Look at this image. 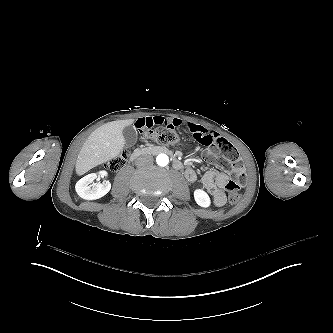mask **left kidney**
I'll return each instance as SVG.
<instances>
[{"label": "left kidney", "mask_w": 333, "mask_h": 333, "mask_svg": "<svg viewBox=\"0 0 333 333\" xmlns=\"http://www.w3.org/2000/svg\"><path fill=\"white\" fill-rule=\"evenodd\" d=\"M194 198L196 203L201 207L207 208L211 204L208 194L201 189H196L194 191Z\"/></svg>", "instance_id": "1"}]
</instances>
